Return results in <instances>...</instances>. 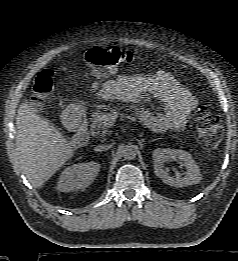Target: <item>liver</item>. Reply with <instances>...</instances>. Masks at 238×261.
<instances>
[{
	"label": "liver",
	"instance_id": "1",
	"mask_svg": "<svg viewBox=\"0 0 238 261\" xmlns=\"http://www.w3.org/2000/svg\"><path fill=\"white\" fill-rule=\"evenodd\" d=\"M16 127L22 171L35 188H41L74 155L75 145L27 102L17 111Z\"/></svg>",
	"mask_w": 238,
	"mask_h": 261
}]
</instances>
